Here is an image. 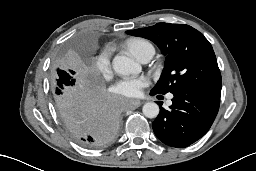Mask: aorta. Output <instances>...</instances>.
Listing matches in <instances>:
<instances>
[{
	"mask_svg": "<svg viewBox=\"0 0 256 171\" xmlns=\"http://www.w3.org/2000/svg\"><path fill=\"white\" fill-rule=\"evenodd\" d=\"M112 65L114 71L121 75L141 72V66L133 59L124 55L115 56ZM142 112L147 118H155L159 114V106L154 102H147L143 105Z\"/></svg>",
	"mask_w": 256,
	"mask_h": 171,
	"instance_id": "aorta-1",
	"label": "aorta"
}]
</instances>
